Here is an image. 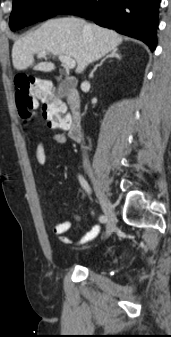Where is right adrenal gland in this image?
<instances>
[{"instance_id":"right-adrenal-gland-1","label":"right adrenal gland","mask_w":171,"mask_h":337,"mask_svg":"<svg viewBox=\"0 0 171 337\" xmlns=\"http://www.w3.org/2000/svg\"><path fill=\"white\" fill-rule=\"evenodd\" d=\"M111 57H115V58H117V59H121V56L118 54L117 49H114L113 51H111V53H110L109 55H107L105 58H103V59L101 60V62H100L99 64H97V65L94 67V69L91 71L89 77L92 78L93 75H94V72L96 71V69H97L99 66H101V65L104 63V61H105L106 59L111 58Z\"/></svg>"}]
</instances>
